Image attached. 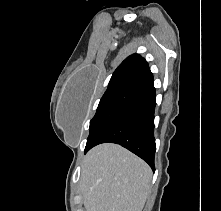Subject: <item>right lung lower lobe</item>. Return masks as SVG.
<instances>
[{"instance_id": "1", "label": "right lung lower lobe", "mask_w": 221, "mask_h": 211, "mask_svg": "<svg viewBox=\"0 0 221 211\" xmlns=\"http://www.w3.org/2000/svg\"><path fill=\"white\" fill-rule=\"evenodd\" d=\"M155 106L156 95L153 84L137 91L96 138L86 144L85 153L101 143L120 144L146 161L154 171Z\"/></svg>"}]
</instances>
